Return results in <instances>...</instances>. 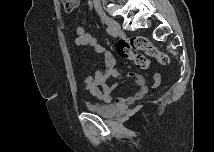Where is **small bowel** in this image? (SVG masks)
I'll use <instances>...</instances> for the list:
<instances>
[{
  "label": "small bowel",
  "mask_w": 215,
  "mask_h": 152,
  "mask_svg": "<svg viewBox=\"0 0 215 152\" xmlns=\"http://www.w3.org/2000/svg\"><path fill=\"white\" fill-rule=\"evenodd\" d=\"M74 43L77 46H89L96 53L103 55V69L96 71L95 75L87 76L85 78V83L89 92L96 96L99 100L104 102H110L112 100V92L118 88V83H110V80L114 77L121 75V72L117 69L116 58L114 54L107 50L100 41L88 33L83 27L76 26V37ZM126 76L131 77L138 86V90L130 96H118L116 98L117 104L132 103L141 99L149 89H155L159 87L162 81L160 74L156 73L153 75V82L150 87L145 85V80L142 75L127 72Z\"/></svg>",
  "instance_id": "c3829d8e"
}]
</instances>
